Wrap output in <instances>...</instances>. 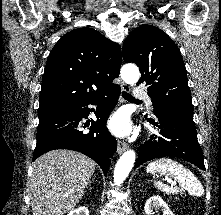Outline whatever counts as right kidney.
Masks as SVG:
<instances>
[{"instance_id":"obj_1","label":"right kidney","mask_w":221,"mask_h":215,"mask_svg":"<svg viewBox=\"0 0 221 215\" xmlns=\"http://www.w3.org/2000/svg\"><path fill=\"white\" fill-rule=\"evenodd\" d=\"M67 215H89V210L85 206H81L75 210H72L69 214Z\"/></svg>"}]
</instances>
